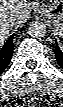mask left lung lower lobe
Here are the masks:
<instances>
[{
    "label": "left lung lower lobe",
    "instance_id": "0a47b994",
    "mask_svg": "<svg viewBox=\"0 0 63 107\" xmlns=\"http://www.w3.org/2000/svg\"><path fill=\"white\" fill-rule=\"evenodd\" d=\"M54 52H55V58H56L58 64L63 68V51L60 50L57 43H56Z\"/></svg>",
    "mask_w": 63,
    "mask_h": 107
}]
</instances>
